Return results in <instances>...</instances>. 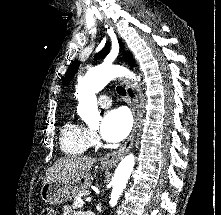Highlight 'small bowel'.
<instances>
[{
	"instance_id": "obj_1",
	"label": "small bowel",
	"mask_w": 221,
	"mask_h": 215,
	"mask_svg": "<svg viewBox=\"0 0 221 215\" xmlns=\"http://www.w3.org/2000/svg\"><path fill=\"white\" fill-rule=\"evenodd\" d=\"M62 215H86V214L82 212L74 213L72 208L66 205L63 207Z\"/></svg>"
}]
</instances>
